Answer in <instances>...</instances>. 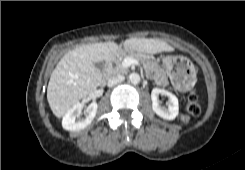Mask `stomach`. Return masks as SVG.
Returning a JSON list of instances; mask_svg holds the SVG:
<instances>
[{"label": "stomach", "instance_id": "0dacf381", "mask_svg": "<svg viewBox=\"0 0 245 170\" xmlns=\"http://www.w3.org/2000/svg\"><path fill=\"white\" fill-rule=\"evenodd\" d=\"M186 59L182 56L177 55H167L162 57V65L167 69L169 73H174L173 68H180L183 66L184 61ZM188 63V62H187ZM192 67L191 65L189 66ZM194 73L191 71V76L193 77ZM183 88H185V85H182Z\"/></svg>", "mask_w": 245, "mask_h": 170}]
</instances>
